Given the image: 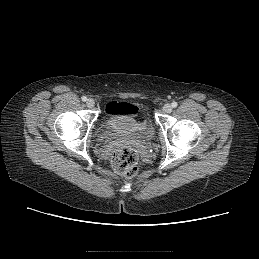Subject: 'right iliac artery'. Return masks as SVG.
Segmentation results:
<instances>
[{
    "label": "right iliac artery",
    "mask_w": 259,
    "mask_h": 259,
    "mask_svg": "<svg viewBox=\"0 0 259 259\" xmlns=\"http://www.w3.org/2000/svg\"><path fill=\"white\" fill-rule=\"evenodd\" d=\"M81 99H82V101L85 102V101L87 100V97H86V96H83Z\"/></svg>",
    "instance_id": "1"
}]
</instances>
